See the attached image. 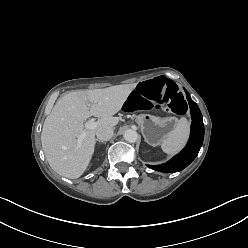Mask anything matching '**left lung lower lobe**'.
Masks as SVG:
<instances>
[{
  "label": "left lung lower lobe",
  "instance_id": "1",
  "mask_svg": "<svg viewBox=\"0 0 248 248\" xmlns=\"http://www.w3.org/2000/svg\"><path fill=\"white\" fill-rule=\"evenodd\" d=\"M187 101L192 116L190 138L187 145L167 163L156 166L147 165L148 167L160 172H178L187 167L197 156L204 139V124L199 107L188 94Z\"/></svg>",
  "mask_w": 248,
  "mask_h": 248
}]
</instances>
